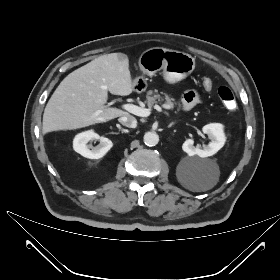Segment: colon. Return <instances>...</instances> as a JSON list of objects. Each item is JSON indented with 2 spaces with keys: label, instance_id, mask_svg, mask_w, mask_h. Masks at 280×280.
Here are the masks:
<instances>
[{
  "label": "colon",
  "instance_id": "colon-1",
  "mask_svg": "<svg viewBox=\"0 0 280 280\" xmlns=\"http://www.w3.org/2000/svg\"><path fill=\"white\" fill-rule=\"evenodd\" d=\"M204 85L205 87L209 88L211 86V82L209 80H206L204 82ZM218 95L226 109L231 111L236 109L237 102L231 89L225 86H221L218 88Z\"/></svg>",
  "mask_w": 280,
  "mask_h": 280
}]
</instances>
